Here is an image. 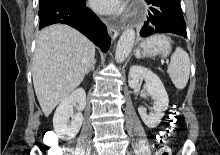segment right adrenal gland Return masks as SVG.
Returning a JSON list of instances; mask_svg holds the SVG:
<instances>
[{"label": "right adrenal gland", "mask_w": 220, "mask_h": 155, "mask_svg": "<svg viewBox=\"0 0 220 155\" xmlns=\"http://www.w3.org/2000/svg\"><path fill=\"white\" fill-rule=\"evenodd\" d=\"M95 63H96V59L93 60L91 66L89 67V69H88L87 72H86V75H88L91 70H92V71L94 70V68H95Z\"/></svg>", "instance_id": "1"}]
</instances>
